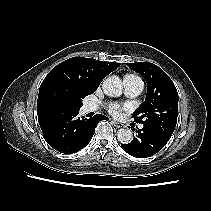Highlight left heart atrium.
I'll return each instance as SVG.
<instances>
[{
	"label": "left heart atrium",
	"mask_w": 211,
	"mask_h": 211,
	"mask_svg": "<svg viewBox=\"0 0 211 211\" xmlns=\"http://www.w3.org/2000/svg\"><path fill=\"white\" fill-rule=\"evenodd\" d=\"M127 108V106H121L117 103H110L107 107L109 113L115 116L119 115L122 110H126Z\"/></svg>",
	"instance_id": "1"
}]
</instances>
